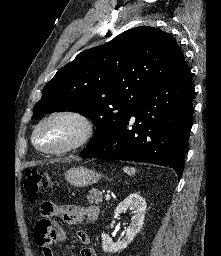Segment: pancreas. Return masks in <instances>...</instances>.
I'll return each mask as SVG.
<instances>
[{"label": "pancreas", "mask_w": 221, "mask_h": 256, "mask_svg": "<svg viewBox=\"0 0 221 256\" xmlns=\"http://www.w3.org/2000/svg\"><path fill=\"white\" fill-rule=\"evenodd\" d=\"M87 200L90 204H100L103 201L102 193L98 190H91L87 195Z\"/></svg>", "instance_id": "1"}]
</instances>
